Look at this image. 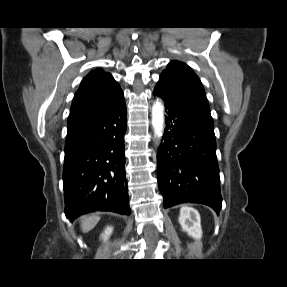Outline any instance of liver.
Listing matches in <instances>:
<instances>
[{
	"mask_svg": "<svg viewBox=\"0 0 287 287\" xmlns=\"http://www.w3.org/2000/svg\"><path fill=\"white\" fill-rule=\"evenodd\" d=\"M100 217L98 215H89L82 217L81 228L83 232H89L99 222Z\"/></svg>",
	"mask_w": 287,
	"mask_h": 287,
	"instance_id": "1",
	"label": "liver"
}]
</instances>
